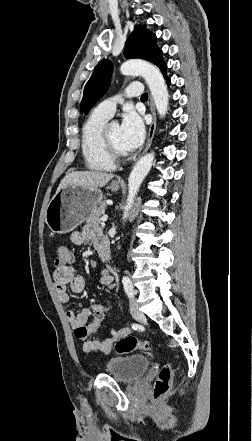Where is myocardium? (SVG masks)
Here are the masks:
<instances>
[{"instance_id": "myocardium-1", "label": "myocardium", "mask_w": 252, "mask_h": 441, "mask_svg": "<svg viewBox=\"0 0 252 441\" xmlns=\"http://www.w3.org/2000/svg\"><path fill=\"white\" fill-rule=\"evenodd\" d=\"M109 124H106L101 136V144L106 157L114 163L122 161L125 157L123 152L118 151L109 138Z\"/></svg>"}]
</instances>
